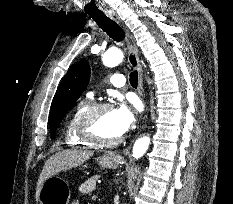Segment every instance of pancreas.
Instances as JSON below:
<instances>
[{
	"mask_svg": "<svg viewBox=\"0 0 233 204\" xmlns=\"http://www.w3.org/2000/svg\"><path fill=\"white\" fill-rule=\"evenodd\" d=\"M99 178H100L99 175L92 176L87 181H85L84 183L81 184V186L79 187V191L81 193H85V194L91 193L93 190H95L96 181Z\"/></svg>",
	"mask_w": 233,
	"mask_h": 204,
	"instance_id": "cf45deb5",
	"label": "pancreas"
}]
</instances>
